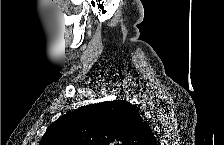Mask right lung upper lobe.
Instances as JSON below:
<instances>
[{"mask_svg": "<svg viewBox=\"0 0 224 145\" xmlns=\"http://www.w3.org/2000/svg\"><path fill=\"white\" fill-rule=\"evenodd\" d=\"M40 145H157L150 126L127 101L83 106L58 118Z\"/></svg>", "mask_w": 224, "mask_h": 145, "instance_id": "obj_1", "label": "right lung upper lobe"}]
</instances>
